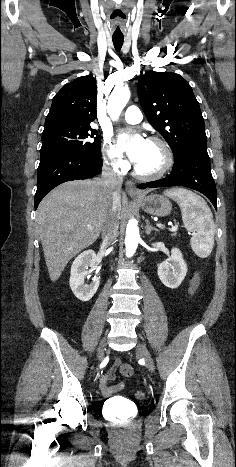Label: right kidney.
I'll return each instance as SVG.
<instances>
[{
  "mask_svg": "<svg viewBox=\"0 0 236 467\" xmlns=\"http://www.w3.org/2000/svg\"><path fill=\"white\" fill-rule=\"evenodd\" d=\"M90 267V269H88ZM96 268V254L93 250H86L79 254L72 266L70 275V288L81 301H89L96 293L100 278L94 276L90 284H84L85 278Z\"/></svg>",
  "mask_w": 236,
  "mask_h": 467,
  "instance_id": "1",
  "label": "right kidney"
}]
</instances>
